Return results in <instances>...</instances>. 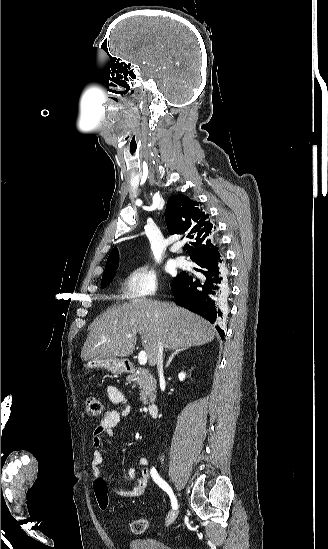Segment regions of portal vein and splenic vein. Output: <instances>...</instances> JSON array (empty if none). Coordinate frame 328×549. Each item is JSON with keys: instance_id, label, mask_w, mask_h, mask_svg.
Listing matches in <instances>:
<instances>
[{"instance_id": "1", "label": "portal vein and splenic vein", "mask_w": 328, "mask_h": 549, "mask_svg": "<svg viewBox=\"0 0 328 549\" xmlns=\"http://www.w3.org/2000/svg\"><path fill=\"white\" fill-rule=\"evenodd\" d=\"M127 337H131V335H127ZM147 359H148V357H147L145 351H140V353L138 355L139 365H146Z\"/></svg>"}]
</instances>
